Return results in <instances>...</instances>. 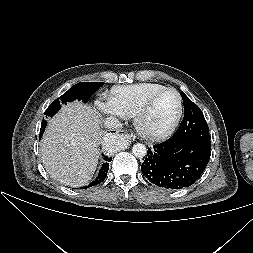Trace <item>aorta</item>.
I'll return each instance as SVG.
<instances>
[{
  "instance_id": "1",
  "label": "aorta",
  "mask_w": 253,
  "mask_h": 253,
  "mask_svg": "<svg viewBox=\"0 0 253 253\" xmlns=\"http://www.w3.org/2000/svg\"><path fill=\"white\" fill-rule=\"evenodd\" d=\"M114 149H117V146H113ZM132 153L137 158H143L147 154V148L144 144L137 143L132 148Z\"/></svg>"
}]
</instances>
